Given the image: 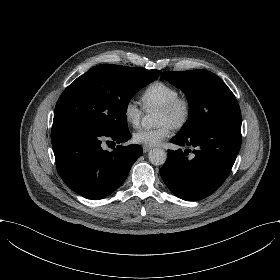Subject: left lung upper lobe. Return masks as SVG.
Instances as JSON below:
<instances>
[{
  "label": "left lung upper lobe",
  "instance_id": "5c2ea615",
  "mask_svg": "<svg viewBox=\"0 0 280 280\" xmlns=\"http://www.w3.org/2000/svg\"><path fill=\"white\" fill-rule=\"evenodd\" d=\"M166 79L181 89L189 103V119L178 135H189L210 125L241 120L238 102L232 91L207 70L167 71Z\"/></svg>",
  "mask_w": 280,
  "mask_h": 280
}]
</instances>
